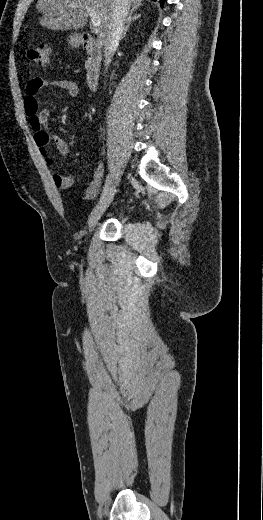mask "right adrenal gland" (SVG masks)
<instances>
[{"mask_svg": "<svg viewBox=\"0 0 263 520\" xmlns=\"http://www.w3.org/2000/svg\"><path fill=\"white\" fill-rule=\"evenodd\" d=\"M137 9H138V7H133L130 10V13H129V16L127 18V22H126V25L124 27L121 39L125 38L126 33H127L128 29H129V26H130L131 22H133L134 20H136V19H138V18H140L142 16L141 14L135 13L137 11Z\"/></svg>", "mask_w": 263, "mask_h": 520, "instance_id": "right-adrenal-gland-1", "label": "right adrenal gland"}]
</instances>
